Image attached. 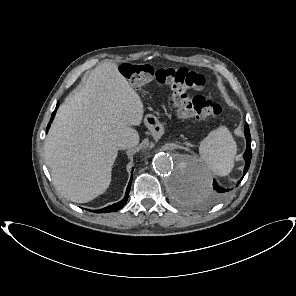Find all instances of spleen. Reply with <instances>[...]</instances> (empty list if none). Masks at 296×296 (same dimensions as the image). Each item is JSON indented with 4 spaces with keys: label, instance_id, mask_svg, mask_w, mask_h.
Wrapping results in <instances>:
<instances>
[{
    "label": "spleen",
    "instance_id": "obj_1",
    "mask_svg": "<svg viewBox=\"0 0 296 296\" xmlns=\"http://www.w3.org/2000/svg\"><path fill=\"white\" fill-rule=\"evenodd\" d=\"M236 151V143L225 126L211 131L199 147L201 159L219 176H226L231 172Z\"/></svg>",
    "mask_w": 296,
    "mask_h": 296
}]
</instances>
